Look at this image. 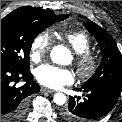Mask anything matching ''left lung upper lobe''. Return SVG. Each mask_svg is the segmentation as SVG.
Masks as SVG:
<instances>
[{
	"label": "left lung upper lobe",
	"instance_id": "5c2ea615",
	"mask_svg": "<svg viewBox=\"0 0 122 122\" xmlns=\"http://www.w3.org/2000/svg\"><path fill=\"white\" fill-rule=\"evenodd\" d=\"M86 29L96 38L102 52V61L95 74L82 87L101 85L122 86V55L113 37L92 21L84 22Z\"/></svg>",
	"mask_w": 122,
	"mask_h": 122
}]
</instances>
